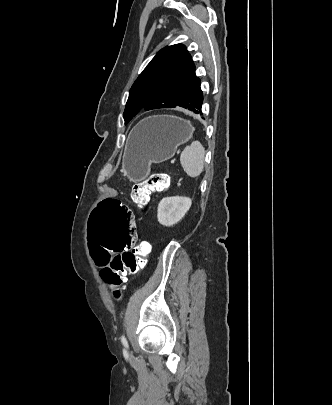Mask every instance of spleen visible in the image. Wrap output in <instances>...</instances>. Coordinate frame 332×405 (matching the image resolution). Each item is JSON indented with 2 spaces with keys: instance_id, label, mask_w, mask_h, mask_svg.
I'll return each instance as SVG.
<instances>
[{
  "instance_id": "1",
  "label": "spleen",
  "mask_w": 332,
  "mask_h": 405,
  "mask_svg": "<svg viewBox=\"0 0 332 405\" xmlns=\"http://www.w3.org/2000/svg\"><path fill=\"white\" fill-rule=\"evenodd\" d=\"M205 149L199 141H193L181 153L180 162L186 174L192 178L200 176L204 168Z\"/></svg>"
}]
</instances>
